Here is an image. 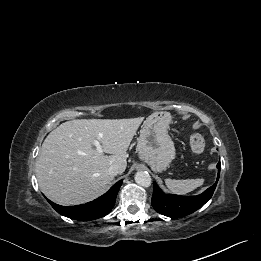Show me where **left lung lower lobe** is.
<instances>
[{
    "label": "left lung lower lobe",
    "mask_w": 261,
    "mask_h": 261,
    "mask_svg": "<svg viewBox=\"0 0 261 261\" xmlns=\"http://www.w3.org/2000/svg\"><path fill=\"white\" fill-rule=\"evenodd\" d=\"M217 168V181L206 191L197 196H178L164 194L154 183V191L151 200L153 208L158 213L171 218L184 217L198 210L212 197L214 193L220 175V162L217 164Z\"/></svg>",
    "instance_id": "1"
}]
</instances>
